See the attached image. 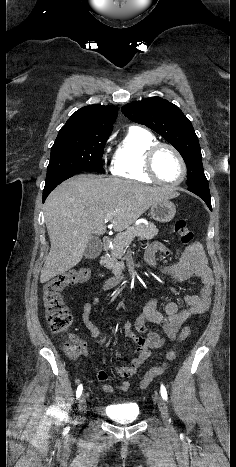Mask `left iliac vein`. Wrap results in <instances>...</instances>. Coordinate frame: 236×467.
<instances>
[{
  "label": "left iliac vein",
  "mask_w": 236,
  "mask_h": 467,
  "mask_svg": "<svg viewBox=\"0 0 236 467\" xmlns=\"http://www.w3.org/2000/svg\"><path fill=\"white\" fill-rule=\"evenodd\" d=\"M157 405L159 408V411L161 413V417L164 421L165 424H169V415H168V409L165 401L158 395L157 396Z\"/></svg>",
  "instance_id": "obj_1"
}]
</instances>
